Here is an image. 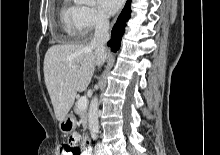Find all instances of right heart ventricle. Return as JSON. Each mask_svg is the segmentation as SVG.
<instances>
[{
  "instance_id": "right-heart-ventricle-1",
  "label": "right heart ventricle",
  "mask_w": 220,
  "mask_h": 155,
  "mask_svg": "<svg viewBox=\"0 0 220 155\" xmlns=\"http://www.w3.org/2000/svg\"><path fill=\"white\" fill-rule=\"evenodd\" d=\"M82 6L74 0H63L61 3L59 17L63 31L71 39H79L83 34L81 30Z\"/></svg>"
}]
</instances>
